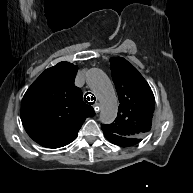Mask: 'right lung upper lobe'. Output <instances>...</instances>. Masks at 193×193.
Segmentation results:
<instances>
[{"label": "right lung upper lobe", "instance_id": "1", "mask_svg": "<svg viewBox=\"0 0 193 193\" xmlns=\"http://www.w3.org/2000/svg\"><path fill=\"white\" fill-rule=\"evenodd\" d=\"M77 69L68 62L46 69L23 97V126L41 146L59 148L71 143L85 119L95 115L74 85Z\"/></svg>", "mask_w": 193, "mask_h": 193}]
</instances>
